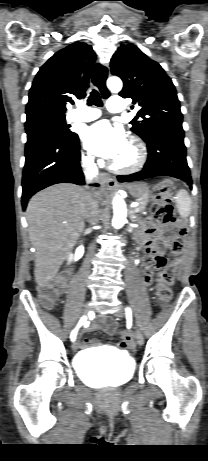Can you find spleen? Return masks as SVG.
Returning <instances> with one entry per match:
<instances>
[{
    "instance_id": "obj_1",
    "label": "spleen",
    "mask_w": 208,
    "mask_h": 461,
    "mask_svg": "<svg viewBox=\"0 0 208 461\" xmlns=\"http://www.w3.org/2000/svg\"><path fill=\"white\" fill-rule=\"evenodd\" d=\"M176 204L181 217L186 218L191 211V199L186 190H180L176 195Z\"/></svg>"
}]
</instances>
